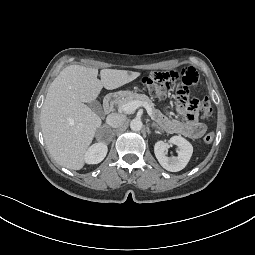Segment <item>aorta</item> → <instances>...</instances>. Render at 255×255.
<instances>
[{
    "mask_svg": "<svg viewBox=\"0 0 255 255\" xmlns=\"http://www.w3.org/2000/svg\"><path fill=\"white\" fill-rule=\"evenodd\" d=\"M142 121L140 119H133L130 122V128L133 131H140L142 129Z\"/></svg>",
    "mask_w": 255,
    "mask_h": 255,
    "instance_id": "1",
    "label": "aorta"
}]
</instances>
